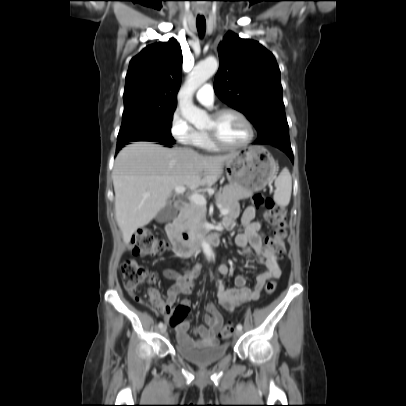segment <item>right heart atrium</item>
I'll return each instance as SVG.
<instances>
[{"instance_id":"1","label":"right heart atrium","mask_w":406,"mask_h":406,"mask_svg":"<svg viewBox=\"0 0 406 406\" xmlns=\"http://www.w3.org/2000/svg\"><path fill=\"white\" fill-rule=\"evenodd\" d=\"M170 131L172 136L184 145H196L202 134V132L190 125L184 115L178 110L171 117Z\"/></svg>"}]
</instances>
